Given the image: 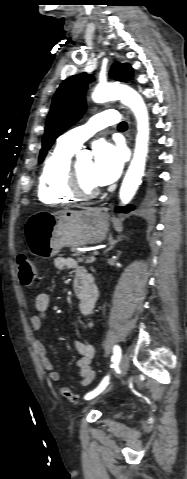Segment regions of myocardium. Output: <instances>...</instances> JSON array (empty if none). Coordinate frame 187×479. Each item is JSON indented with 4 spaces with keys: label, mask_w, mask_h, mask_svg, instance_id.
Masks as SVG:
<instances>
[{
    "label": "myocardium",
    "mask_w": 187,
    "mask_h": 479,
    "mask_svg": "<svg viewBox=\"0 0 187 479\" xmlns=\"http://www.w3.org/2000/svg\"><path fill=\"white\" fill-rule=\"evenodd\" d=\"M66 186L68 191L77 199L88 200L97 197L100 193L98 187L86 188L78 173L77 165L71 162L66 176Z\"/></svg>",
    "instance_id": "obj_1"
}]
</instances>
